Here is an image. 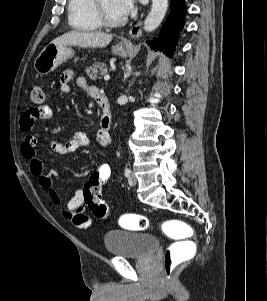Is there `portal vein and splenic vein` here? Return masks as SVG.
Returning a JSON list of instances; mask_svg holds the SVG:
<instances>
[{
	"instance_id": "18ae733b",
	"label": "portal vein and splenic vein",
	"mask_w": 267,
	"mask_h": 301,
	"mask_svg": "<svg viewBox=\"0 0 267 301\" xmlns=\"http://www.w3.org/2000/svg\"><path fill=\"white\" fill-rule=\"evenodd\" d=\"M110 79V75L109 74H106L105 76H104V80L105 81H108Z\"/></svg>"
}]
</instances>
